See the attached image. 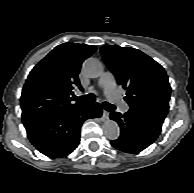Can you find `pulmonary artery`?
<instances>
[{
  "instance_id": "1",
  "label": "pulmonary artery",
  "mask_w": 194,
  "mask_h": 193,
  "mask_svg": "<svg viewBox=\"0 0 194 193\" xmlns=\"http://www.w3.org/2000/svg\"><path fill=\"white\" fill-rule=\"evenodd\" d=\"M98 84L105 90L106 97L119 107L123 113L128 111V105L122 101L120 93L116 89L114 77L110 72L103 73Z\"/></svg>"
}]
</instances>
